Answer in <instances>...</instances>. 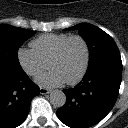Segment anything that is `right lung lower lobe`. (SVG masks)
Returning a JSON list of instances; mask_svg holds the SVG:
<instances>
[{
  "instance_id": "98d812e1",
  "label": "right lung lower lobe",
  "mask_w": 128,
  "mask_h": 128,
  "mask_svg": "<svg viewBox=\"0 0 128 128\" xmlns=\"http://www.w3.org/2000/svg\"><path fill=\"white\" fill-rule=\"evenodd\" d=\"M39 87L21 69L0 68V128H16L26 119Z\"/></svg>"
}]
</instances>
